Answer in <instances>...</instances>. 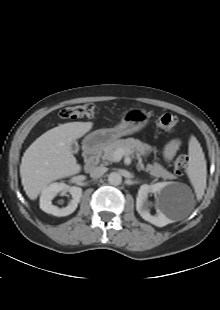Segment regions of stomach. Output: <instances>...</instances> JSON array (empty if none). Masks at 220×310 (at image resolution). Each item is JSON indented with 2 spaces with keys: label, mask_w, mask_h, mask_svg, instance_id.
Segmentation results:
<instances>
[{
  "label": "stomach",
  "mask_w": 220,
  "mask_h": 310,
  "mask_svg": "<svg viewBox=\"0 0 220 310\" xmlns=\"http://www.w3.org/2000/svg\"><path fill=\"white\" fill-rule=\"evenodd\" d=\"M148 120L149 115L145 110L130 109L123 114L117 126L96 130L86 136L85 142L91 147L108 145L122 136L138 132L146 126Z\"/></svg>",
  "instance_id": "1"
}]
</instances>
